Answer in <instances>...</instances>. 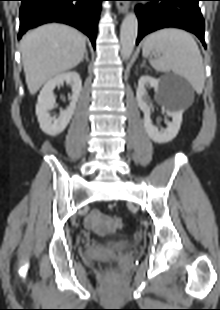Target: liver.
I'll return each instance as SVG.
<instances>
[{"instance_id": "6515ba94", "label": "liver", "mask_w": 220, "mask_h": 310, "mask_svg": "<svg viewBox=\"0 0 220 310\" xmlns=\"http://www.w3.org/2000/svg\"><path fill=\"white\" fill-rule=\"evenodd\" d=\"M86 52L85 38L63 24H46L28 32L21 41L26 84L34 95L54 76L76 67Z\"/></svg>"}]
</instances>
